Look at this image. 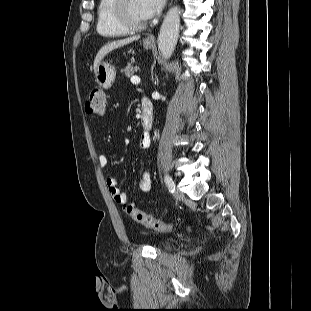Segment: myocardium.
Wrapping results in <instances>:
<instances>
[{"label": "myocardium", "instance_id": "myocardium-1", "mask_svg": "<svg viewBox=\"0 0 311 311\" xmlns=\"http://www.w3.org/2000/svg\"><path fill=\"white\" fill-rule=\"evenodd\" d=\"M128 0H113L112 12L118 23L127 31H140L147 27L148 22H134L127 9Z\"/></svg>", "mask_w": 311, "mask_h": 311}]
</instances>
